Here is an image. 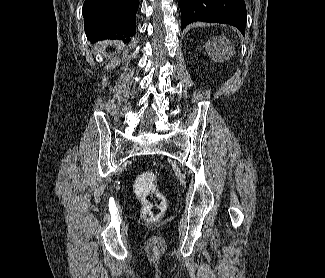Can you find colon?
<instances>
[{
	"mask_svg": "<svg viewBox=\"0 0 325 278\" xmlns=\"http://www.w3.org/2000/svg\"><path fill=\"white\" fill-rule=\"evenodd\" d=\"M134 189L144 204L143 219L147 222L159 221L166 208V199L158 189L156 174L152 171L142 172L135 179Z\"/></svg>",
	"mask_w": 325,
	"mask_h": 278,
	"instance_id": "1",
	"label": "colon"
}]
</instances>
